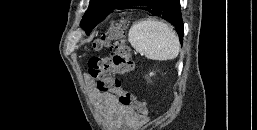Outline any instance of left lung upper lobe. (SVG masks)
Returning a JSON list of instances; mask_svg holds the SVG:
<instances>
[{
  "label": "left lung upper lobe",
  "instance_id": "1",
  "mask_svg": "<svg viewBox=\"0 0 257 130\" xmlns=\"http://www.w3.org/2000/svg\"><path fill=\"white\" fill-rule=\"evenodd\" d=\"M128 0H90L89 8L80 26L89 35L91 29L114 9H120Z\"/></svg>",
  "mask_w": 257,
  "mask_h": 130
}]
</instances>
